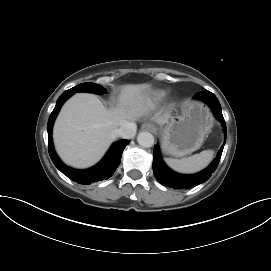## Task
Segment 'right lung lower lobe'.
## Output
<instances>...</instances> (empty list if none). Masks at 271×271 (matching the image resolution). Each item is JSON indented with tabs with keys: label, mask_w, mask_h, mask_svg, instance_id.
<instances>
[{
	"label": "right lung lower lobe",
	"mask_w": 271,
	"mask_h": 271,
	"mask_svg": "<svg viewBox=\"0 0 271 271\" xmlns=\"http://www.w3.org/2000/svg\"><path fill=\"white\" fill-rule=\"evenodd\" d=\"M72 93L64 92L57 100L56 106L51 113L47 131H48V145H49V155L54 163V165L68 178L78 182L79 184L88 185L91 182H96L99 180L108 179L112 176V173L120 164V159L122 152L129 141L120 140L112 145L104 159L95 167L88 170H75L65 166L55 153L53 141H52V126L54 120L62 106V104L72 96Z\"/></svg>",
	"instance_id": "98d812e1"
}]
</instances>
